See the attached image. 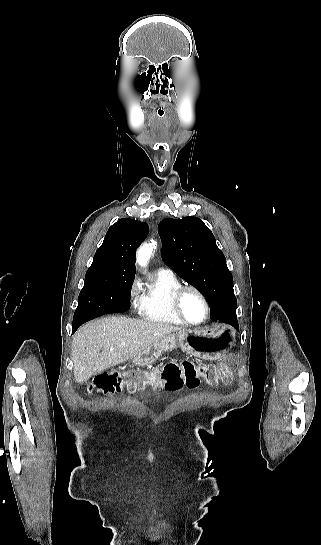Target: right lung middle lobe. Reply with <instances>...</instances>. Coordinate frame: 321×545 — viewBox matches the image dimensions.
Returning <instances> with one entry per match:
<instances>
[{
    "label": "right lung middle lobe",
    "mask_w": 321,
    "mask_h": 545,
    "mask_svg": "<svg viewBox=\"0 0 321 545\" xmlns=\"http://www.w3.org/2000/svg\"><path fill=\"white\" fill-rule=\"evenodd\" d=\"M134 277L106 271H87L73 321L107 314L110 304L118 297L130 295Z\"/></svg>",
    "instance_id": "obj_1"
}]
</instances>
